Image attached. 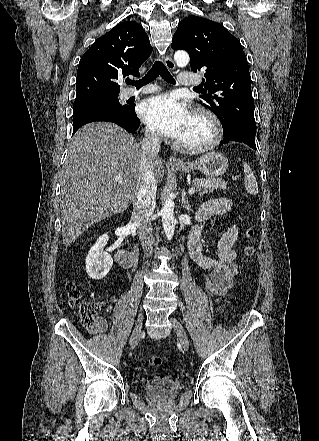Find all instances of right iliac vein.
I'll return each instance as SVG.
<instances>
[{"instance_id": "1", "label": "right iliac vein", "mask_w": 319, "mask_h": 441, "mask_svg": "<svg viewBox=\"0 0 319 441\" xmlns=\"http://www.w3.org/2000/svg\"><path fill=\"white\" fill-rule=\"evenodd\" d=\"M142 325H143V314H139L135 327L133 329L131 338H130V346L135 347L138 342H139V338L141 335V330H142Z\"/></svg>"}]
</instances>
